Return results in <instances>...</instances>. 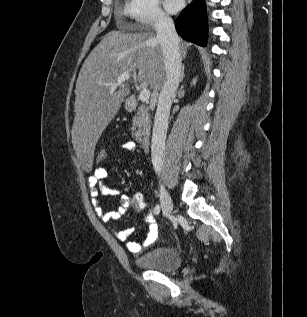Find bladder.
<instances>
[{"label":"bladder","mask_w":307,"mask_h":317,"mask_svg":"<svg viewBox=\"0 0 307 317\" xmlns=\"http://www.w3.org/2000/svg\"><path fill=\"white\" fill-rule=\"evenodd\" d=\"M137 266L148 270L172 271L181 267L182 257L175 247H160L136 257Z\"/></svg>","instance_id":"bladder-1"}]
</instances>
